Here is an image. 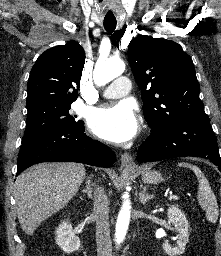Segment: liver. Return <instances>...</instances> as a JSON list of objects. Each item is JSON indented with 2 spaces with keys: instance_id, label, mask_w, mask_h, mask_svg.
Listing matches in <instances>:
<instances>
[{
  "instance_id": "liver-1",
  "label": "liver",
  "mask_w": 221,
  "mask_h": 256,
  "mask_svg": "<svg viewBox=\"0 0 221 256\" xmlns=\"http://www.w3.org/2000/svg\"><path fill=\"white\" fill-rule=\"evenodd\" d=\"M85 177L79 163H41L21 173L15 182L16 212L27 235L65 207Z\"/></svg>"
}]
</instances>
